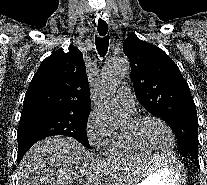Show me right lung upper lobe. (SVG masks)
Listing matches in <instances>:
<instances>
[{"instance_id":"right-lung-upper-lobe-1","label":"right lung upper lobe","mask_w":207,"mask_h":185,"mask_svg":"<svg viewBox=\"0 0 207 185\" xmlns=\"http://www.w3.org/2000/svg\"><path fill=\"white\" fill-rule=\"evenodd\" d=\"M37 109L90 113L89 83L78 48H69V53L57 50L42 61L23 106V111Z\"/></svg>"}]
</instances>
